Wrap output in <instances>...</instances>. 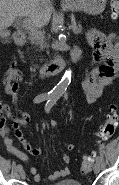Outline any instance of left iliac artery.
<instances>
[{"label": "left iliac artery", "instance_id": "1", "mask_svg": "<svg viewBox=\"0 0 119 185\" xmlns=\"http://www.w3.org/2000/svg\"><path fill=\"white\" fill-rule=\"evenodd\" d=\"M59 97L49 99L45 105V110L46 112H50L51 108L54 106L56 101L58 100ZM96 161L102 162V158L100 156L96 157Z\"/></svg>", "mask_w": 119, "mask_h": 185}]
</instances>
